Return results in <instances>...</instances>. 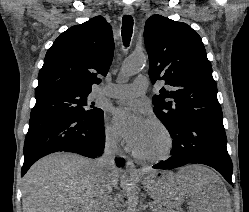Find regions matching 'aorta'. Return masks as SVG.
Returning a JSON list of instances; mask_svg holds the SVG:
<instances>
[{
	"label": "aorta",
	"instance_id": "762f6f07",
	"mask_svg": "<svg viewBox=\"0 0 249 212\" xmlns=\"http://www.w3.org/2000/svg\"><path fill=\"white\" fill-rule=\"evenodd\" d=\"M146 57L143 54H133L122 64L121 76L129 77L137 74L146 64ZM133 186L128 192L126 212H137L138 196Z\"/></svg>",
	"mask_w": 249,
	"mask_h": 212
}]
</instances>
